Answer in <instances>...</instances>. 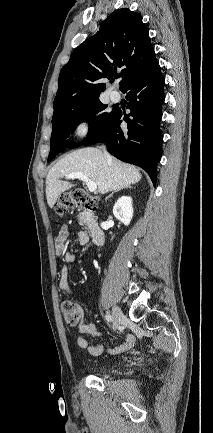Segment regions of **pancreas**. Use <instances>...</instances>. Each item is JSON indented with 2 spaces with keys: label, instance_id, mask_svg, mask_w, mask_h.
Segmentation results:
<instances>
[{
  "label": "pancreas",
  "instance_id": "1",
  "mask_svg": "<svg viewBox=\"0 0 213 433\" xmlns=\"http://www.w3.org/2000/svg\"><path fill=\"white\" fill-rule=\"evenodd\" d=\"M77 217H78V220L82 226H84V225L87 226L88 222H89L88 220H89V218L92 217V214L90 211L84 210L83 212L79 213L77 215Z\"/></svg>",
  "mask_w": 213,
  "mask_h": 433
}]
</instances>
